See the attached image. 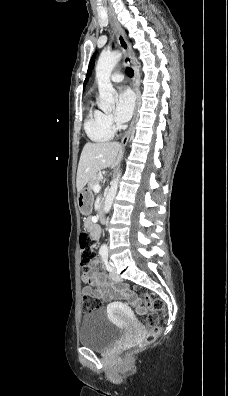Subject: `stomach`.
Instances as JSON below:
<instances>
[{
	"label": "stomach",
	"mask_w": 228,
	"mask_h": 396,
	"mask_svg": "<svg viewBox=\"0 0 228 396\" xmlns=\"http://www.w3.org/2000/svg\"><path fill=\"white\" fill-rule=\"evenodd\" d=\"M94 196L92 190L89 188H83L77 194V204L80 212L87 216L92 212Z\"/></svg>",
	"instance_id": "stomach-1"
}]
</instances>
